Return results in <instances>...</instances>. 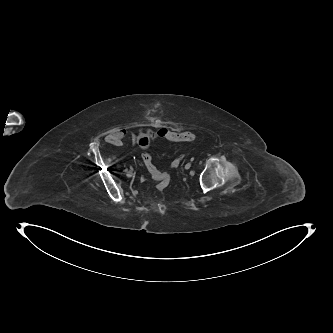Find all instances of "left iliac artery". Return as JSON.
<instances>
[{
    "instance_id": "44dca946",
    "label": "left iliac artery",
    "mask_w": 333,
    "mask_h": 333,
    "mask_svg": "<svg viewBox=\"0 0 333 333\" xmlns=\"http://www.w3.org/2000/svg\"><path fill=\"white\" fill-rule=\"evenodd\" d=\"M194 160V158H191V161H193Z\"/></svg>"
}]
</instances>
